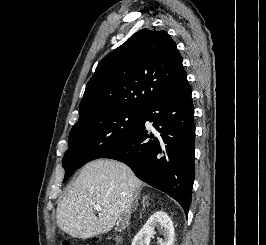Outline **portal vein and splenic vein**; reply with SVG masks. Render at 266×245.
Wrapping results in <instances>:
<instances>
[{"mask_svg": "<svg viewBox=\"0 0 266 245\" xmlns=\"http://www.w3.org/2000/svg\"><path fill=\"white\" fill-rule=\"evenodd\" d=\"M95 211H102V207L100 205H93Z\"/></svg>", "mask_w": 266, "mask_h": 245, "instance_id": "obj_1", "label": "portal vein and splenic vein"}]
</instances>
